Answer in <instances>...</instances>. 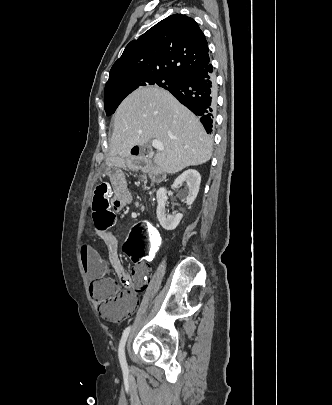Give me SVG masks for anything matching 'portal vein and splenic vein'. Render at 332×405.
Instances as JSON below:
<instances>
[{
	"label": "portal vein and splenic vein",
	"instance_id": "obj_1",
	"mask_svg": "<svg viewBox=\"0 0 332 405\" xmlns=\"http://www.w3.org/2000/svg\"><path fill=\"white\" fill-rule=\"evenodd\" d=\"M152 146L159 151H164V146H163L162 142L159 140H153Z\"/></svg>",
	"mask_w": 332,
	"mask_h": 405
}]
</instances>
